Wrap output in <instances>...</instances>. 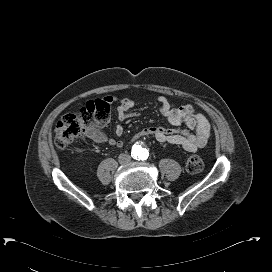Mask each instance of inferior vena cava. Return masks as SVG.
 Returning <instances> with one entry per match:
<instances>
[{
  "mask_svg": "<svg viewBox=\"0 0 272 272\" xmlns=\"http://www.w3.org/2000/svg\"><path fill=\"white\" fill-rule=\"evenodd\" d=\"M118 159L120 163H124L130 160V156L128 154H120Z\"/></svg>",
  "mask_w": 272,
  "mask_h": 272,
  "instance_id": "inferior-vena-cava-1",
  "label": "inferior vena cava"
}]
</instances>
